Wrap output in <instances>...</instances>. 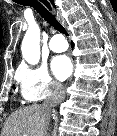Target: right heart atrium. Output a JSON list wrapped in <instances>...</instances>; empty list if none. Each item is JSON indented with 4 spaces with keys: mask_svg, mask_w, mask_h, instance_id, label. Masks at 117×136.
I'll list each match as a JSON object with an SVG mask.
<instances>
[{
    "mask_svg": "<svg viewBox=\"0 0 117 136\" xmlns=\"http://www.w3.org/2000/svg\"><path fill=\"white\" fill-rule=\"evenodd\" d=\"M17 81L26 102H37L48 97H59L62 85L54 80L46 65H23L18 69Z\"/></svg>",
    "mask_w": 117,
    "mask_h": 136,
    "instance_id": "d8ad5b80",
    "label": "right heart atrium"
}]
</instances>
